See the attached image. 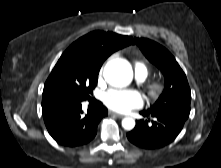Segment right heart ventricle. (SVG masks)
<instances>
[{
  "mask_svg": "<svg viewBox=\"0 0 221 168\" xmlns=\"http://www.w3.org/2000/svg\"><path fill=\"white\" fill-rule=\"evenodd\" d=\"M135 73H141L147 77L149 70L143 62L137 61L135 62Z\"/></svg>",
  "mask_w": 221,
  "mask_h": 168,
  "instance_id": "1",
  "label": "right heart ventricle"
}]
</instances>
